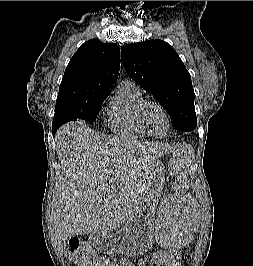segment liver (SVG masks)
Masks as SVG:
<instances>
[{
    "label": "liver",
    "instance_id": "obj_1",
    "mask_svg": "<svg viewBox=\"0 0 253 266\" xmlns=\"http://www.w3.org/2000/svg\"><path fill=\"white\" fill-rule=\"evenodd\" d=\"M55 139L62 168L54 213L60 247L72 236L109 233L131 221L157 159L171 152L163 143L100 138L81 121L60 127Z\"/></svg>",
    "mask_w": 253,
    "mask_h": 266
}]
</instances>
